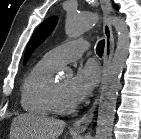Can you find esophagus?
<instances>
[{
  "label": "esophagus",
  "instance_id": "esophagus-1",
  "mask_svg": "<svg viewBox=\"0 0 141 139\" xmlns=\"http://www.w3.org/2000/svg\"><path fill=\"white\" fill-rule=\"evenodd\" d=\"M99 2L104 14L103 33L105 36V48H104L103 67H102V82L99 90V94H100L101 88L105 82V79L107 77L111 65L115 43H114L112 26L109 19V16L112 12L111 3L109 0H99ZM99 94L97 95L90 109L82 117H80L73 123L72 125L73 130L78 132H84L88 129L94 118L95 110L99 100Z\"/></svg>",
  "mask_w": 141,
  "mask_h": 139
}]
</instances>
